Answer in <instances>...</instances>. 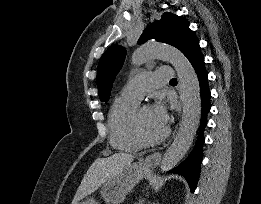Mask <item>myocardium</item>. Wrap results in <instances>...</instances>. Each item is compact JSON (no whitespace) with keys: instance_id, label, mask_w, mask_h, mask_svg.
Listing matches in <instances>:
<instances>
[{"instance_id":"myocardium-1","label":"myocardium","mask_w":261,"mask_h":204,"mask_svg":"<svg viewBox=\"0 0 261 204\" xmlns=\"http://www.w3.org/2000/svg\"><path fill=\"white\" fill-rule=\"evenodd\" d=\"M149 107L148 105H143L139 108L136 109L134 116H133V130L134 133L136 135V137L138 138V140L140 141V143L143 146H154V145H158L161 142H163L169 135V130L165 129L164 132L157 136V137H149L143 130L142 125H141V120H140V114L141 111L146 108Z\"/></svg>"}]
</instances>
